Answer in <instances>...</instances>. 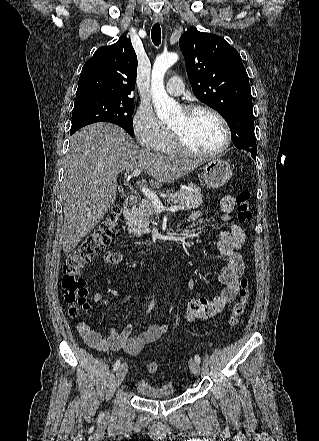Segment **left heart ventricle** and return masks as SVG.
<instances>
[{
    "label": "left heart ventricle",
    "instance_id": "obj_1",
    "mask_svg": "<svg viewBox=\"0 0 319 441\" xmlns=\"http://www.w3.org/2000/svg\"><path fill=\"white\" fill-rule=\"evenodd\" d=\"M168 125L178 130L185 143L196 151H212L224 142L222 125L206 111H197L187 116L181 110L169 121Z\"/></svg>",
    "mask_w": 319,
    "mask_h": 441
}]
</instances>
